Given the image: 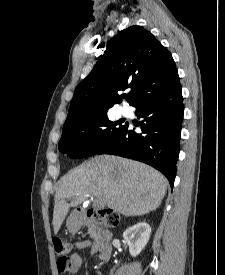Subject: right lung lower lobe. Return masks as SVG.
Returning <instances> with one entry per match:
<instances>
[{"label": "right lung lower lobe", "instance_id": "1", "mask_svg": "<svg viewBox=\"0 0 225 275\" xmlns=\"http://www.w3.org/2000/svg\"><path fill=\"white\" fill-rule=\"evenodd\" d=\"M179 80L167 88L141 98L133 106L142 133L126 123L122 132L96 154H112L149 164L162 172L173 187L179 156L184 114ZM138 126V125H135Z\"/></svg>", "mask_w": 225, "mask_h": 275}]
</instances>
